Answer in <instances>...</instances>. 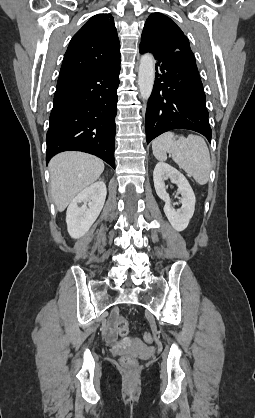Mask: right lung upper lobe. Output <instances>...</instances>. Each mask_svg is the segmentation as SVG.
<instances>
[{
  "instance_id": "right-lung-upper-lobe-1",
  "label": "right lung upper lobe",
  "mask_w": 255,
  "mask_h": 418,
  "mask_svg": "<svg viewBox=\"0 0 255 418\" xmlns=\"http://www.w3.org/2000/svg\"><path fill=\"white\" fill-rule=\"evenodd\" d=\"M120 42L113 17L97 14L73 36L60 75L112 65L120 61Z\"/></svg>"
}]
</instances>
